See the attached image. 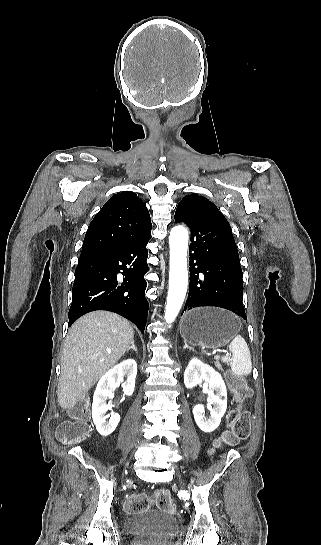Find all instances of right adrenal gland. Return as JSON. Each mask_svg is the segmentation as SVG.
Returning <instances> with one entry per match:
<instances>
[{"instance_id": "obj_1", "label": "right adrenal gland", "mask_w": 321, "mask_h": 545, "mask_svg": "<svg viewBox=\"0 0 321 545\" xmlns=\"http://www.w3.org/2000/svg\"><path fill=\"white\" fill-rule=\"evenodd\" d=\"M134 343H135V341H132L131 347H129V349H127L126 353H129L130 349H132V351H136V353H137V349H136Z\"/></svg>"}]
</instances>
